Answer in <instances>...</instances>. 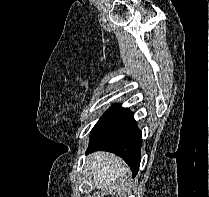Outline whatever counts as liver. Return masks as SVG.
Returning <instances> with one entry per match:
<instances>
[{
    "label": "liver",
    "mask_w": 209,
    "mask_h": 197,
    "mask_svg": "<svg viewBox=\"0 0 209 197\" xmlns=\"http://www.w3.org/2000/svg\"><path fill=\"white\" fill-rule=\"evenodd\" d=\"M86 167L93 176L94 188L107 190L113 195H120L126 190L128 167L118 156L108 152L93 153L87 160Z\"/></svg>",
    "instance_id": "obj_1"
}]
</instances>
